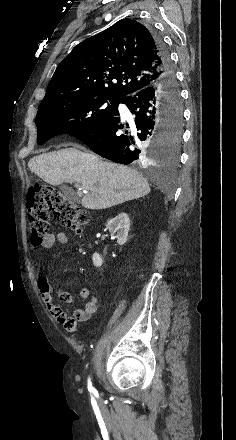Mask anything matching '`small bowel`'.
Masks as SVG:
<instances>
[{"label": "small bowel", "instance_id": "small-bowel-1", "mask_svg": "<svg viewBox=\"0 0 236 440\" xmlns=\"http://www.w3.org/2000/svg\"><path fill=\"white\" fill-rule=\"evenodd\" d=\"M68 235L65 232L49 233L42 241L41 247L44 249L53 248L56 243L65 245L68 243ZM38 287L41 293V298L50 314L57 319L60 323L61 320L72 318L74 321H63V330H79L80 322L86 321L97 309L98 299L97 297L90 296V290L88 288H82L79 291V296L81 299L85 300L86 303L84 308H78L74 311L73 316L68 315L57 303L54 301L53 292L51 291L46 277L40 275L38 279ZM55 294L57 297L65 303L72 302V295L62 289H56Z\"/></svg>", "mask_w": 236, "mask_h": 440}]
</instances>
